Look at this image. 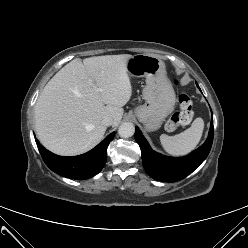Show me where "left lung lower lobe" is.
Returning <instances> with one entry per match:
<instances>
[{
    "mask_svg": "<svg viewBox=\"0 0 248 248\" xmlns=\"http://www.w3.org/2000/svg\"><path fill=\"white\" fill-rule=\"evenodd\" d=\"M213 133L212 118L208 138L204 144L189 155L178 158L153 151L138 127L135 139L140 146L143 166L148 175L158 181L176 182L192 173L206 159L212 146Z\"/></svg>",
    "mask_w": 248,
    "mask_h": 248,
    "instance_id": "1",
    "label": "left lung lower lobe"
}]
</instances>
